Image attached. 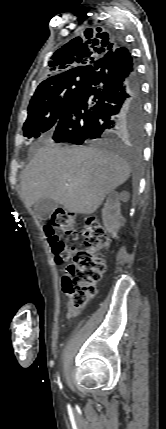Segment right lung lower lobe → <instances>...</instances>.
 I'll return each mask as SVG.
<instances>
[{"mask_svg":"<svg viewBox=\"0 0 166 429\" xmlns=\"http://www.w3.org/2000/svg\"><path fill=\"white\" fill-rule=\"evenodd\" d=\"M143 124L140 78L127 48L119 47L93 64L56 124L53 140L100 144L124 128L137 133Z\"/></svg>","mask_w":166,"mask_h":429,"instance_id":"1","label":"right lung lower lobe"}]
</instances>
